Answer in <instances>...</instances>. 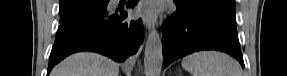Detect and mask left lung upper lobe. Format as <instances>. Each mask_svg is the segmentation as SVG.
I'll return each instance as SVG.
<instances>
[{
  "instance_id": "obj_1",
  "label": "left lung upper lobe",
  "mask_w": 287,
  "mask_h": 76,
  "mask_svg": "<svg viewBox=\"0 0 287 76\" xmlns=\"http://www.w3.org/2000/svg\"><path fill=\"white\" fill-rule=\"evenodd\" d=\"M175 3L197 10L232 30L235 24V0H174Z\"/></svg>"
}]
</instances>
